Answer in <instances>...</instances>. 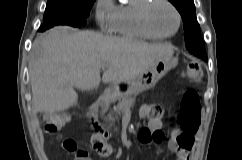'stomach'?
I'll use <instances>...</instances> for the list:
<instances>
[{"label":"stomach","mask_w":242,"mask_h":160,"mask_svg":"<svg viewBox=\"0 0 242 160\" xmlns=\"http://www.w3.org/2000/svg\"><path fill=\"white\" fill-rule=\"evenodd\" d=\"M178 59L174 57L160 59L132 80L116 83L114 89L122 96L137 95L153 88L171 69L176 67Z\"/></svg>","instance_id":"0dacf381"}]
</instances>
